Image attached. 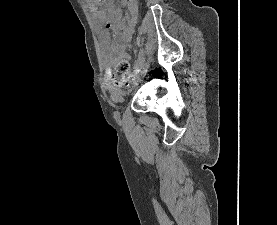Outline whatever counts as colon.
<instances>
[{"label": "colon", "instance_id": "colon-1", "mask_svg": "<svg viewBox=\"0 0 277 225\" xmlns=\"http://www.w3.org/2000/svg\"><path fill=\"white\" fill-rule=\"evenodd\" d=\"M113 79L118 84H127L130 80V65L126 60L120 61L114 69Z\"/></svg>", "mask_w": 277, "mask_h": 225}]
</instances>
